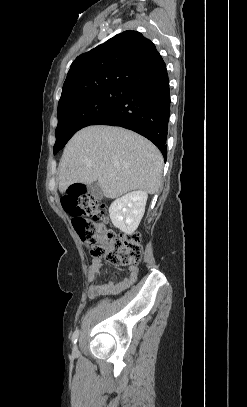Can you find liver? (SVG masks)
Masks as SVG:
<instances>
[{
    "instance_id": "1",
    "label": "liver",
    "mask_w": 247,
    "mask_h": 407,
    "mask_svg": "<svg viewBox=\"0 0 247 407\" xmlns=\"http://www.w3.org/2000/svg\"><path fill=\"white\" fill-rule=\"evenodd\" d=\"M163 157L158 148L133 131L112 126H88L66 145L59 165V191L74 183L98 181L107 198L132 190L155 194L160 186Z\"/></svg>"
}]
</instances>
